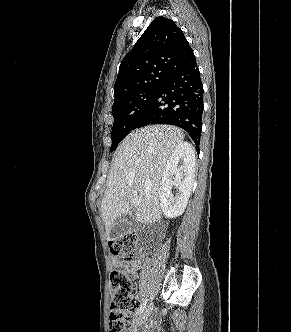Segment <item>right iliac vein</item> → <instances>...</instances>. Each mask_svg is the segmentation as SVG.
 Returning <instances> with one entry per match:
<instances>
[{
	"mask_svg": "<svg viewBox=\"0 0 291 332\" xmlns=\"http://www.w3.org/2000/svg\"><path fill=\"white\" fill-rule=\"evenodd\" d=\"M152 310H153V304H149L147 306V308L136 318L135 320V323L137 325H140L142 323H144L148 318L149 316L151 315L152 313Z\"/></svg>",
	"mask_w": 291,
	"mask_h": 332,
	"instance_id": "63e3f726",
	"label": "right iliac vein"
}]
</instances>
